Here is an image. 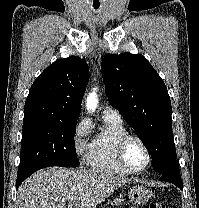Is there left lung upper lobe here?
<instances>
[{"label":"left lung upper lobe","mask_w":199,"mask_h":208,"mask_svg":"<svg viewBox=\"0 0 199 208\" xmlns=\"http://www.w3.org/2000/svg\"><path fill=\"white\" fill-rule=\"evenodd\" d=\"M101 70L110 104L145 143L153 169H179L170 97L156 70L143 55L131 53L105 55Z\"/></svg>","instance_id":"left-lung-upper-lobe-1"}]
</instances>
